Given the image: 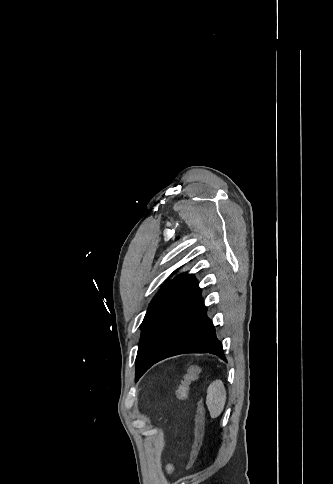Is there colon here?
Returning a JSON list of instances; mask_svg holds the SVG:
<instances>
[{
	"label": "colon",
	"mask_w": 333,
	"mask_h": 484,
	"mask_svg": "<svg viewBox=\"0 0 333 484\" xmlns=\"http://www.w3.org/2000/svg\"><path fill=\"white\" fill-rule=\"evenodd\" d=\"M201 373V367L199 365H192L187 372L185 373L183 379L181 380L177 390H176V398L180 401H184L187 399L189 394V388L191 383L197 379L199 374ZM204 433V408L202 401H199L196 406V413H195V441L194 445L190 454V459L187 464V469L191 468L194 464L199 449L201 447L202 439Z\"/></svg>",
	"instance_id": "colon-1"
}]
</instances>
